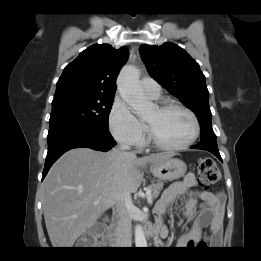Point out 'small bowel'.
<instances>
[{"instance_id": "c3829d8e", "label": "small bowel", "mask_w": 261, "mask_h": 261, "mask_svg": "<svg viewBox=\"0 0 261 261\" xmlns=\"http://www.w3.org/2000/svg\"><path fill=\"white\" fill-rule=\"evenodd\" d=\"M185 209V219L191 227L178 242L179 247H189L194 240L200 239L202 229L209 227L210 242L220 243L224 216L225 197L198 188L194 174H187L182 181L171 184L162 194L156 207V227L164 232L163 215L168 208L178 201ZM200 201L201 207L196 209L195 203Z\"/></svg>"}]
</instances>
